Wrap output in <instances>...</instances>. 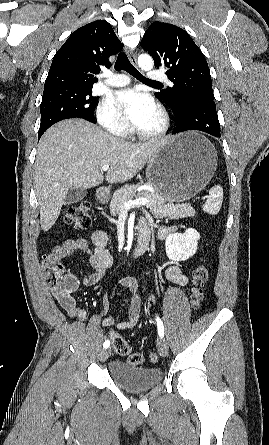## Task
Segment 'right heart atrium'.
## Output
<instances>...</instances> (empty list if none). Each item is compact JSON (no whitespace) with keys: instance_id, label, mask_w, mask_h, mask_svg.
<instances>
[{"instance_id":"right-heart-atrium-1","label":"right heart atrium","mask_w":269,"mask_h":445,"mask_svg":"<svg viewBox=\"0 0 269 445\" xmlns=\"http://www.w3.org/2000/svg\"><path fill=\"white\" fill-rule=\"evenodd\" d=\"M100 126L107 132L124 137L130 131V124L110 98L103 99L96 110Z\"/></svg>"}]
</instances>
